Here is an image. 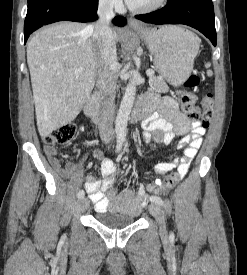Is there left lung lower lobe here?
I'll list each match as a JSON object with an SVG mask.
<instances>
[{
	"label": "left lung lower lobe",
	"instance_id": "1",
	"mask_svg": "<svg viewBox=\"0 0 247 275\" xmlns=\"http://www.w3.org/2000/svg\"><path fill=\"white\" fill-rule=\"evenodd\" d=\"M135 17L153 24H185L191 26L203 33L216 46L212 0H172L160 10Z\"/></svg>",
	"mask_w": 247,
	"mask_h": 275
}]
</instances>
